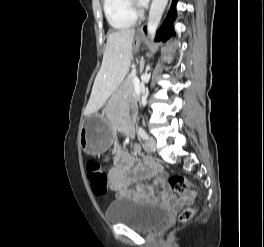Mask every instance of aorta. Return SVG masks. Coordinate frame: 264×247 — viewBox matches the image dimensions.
<instances>
[{
    "label": "aorta",
    "mask_w": 264,
    "mask_h": 247,
    "mask_svg": "<svg viewBox=\"0 0 264 247\" xmlns=\"http://www.w3.org/2000/svg\"><path fill=\"white\" fill-rule=\"evenodd\" d=\"M168 0H153L147 23V31L149 37L153 40L156 34L157 27L160 23L162 14L167 6Z\"/></svg>",
    "instance_id": "1"
}]
</instances>
